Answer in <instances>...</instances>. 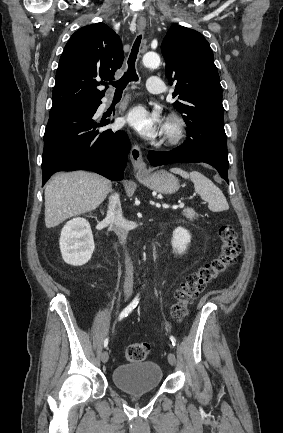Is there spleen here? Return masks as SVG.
<instances>
[{"label":"spleen","instance_id":"1","mask_svg":"<svg viewBox=\"0 0 283 433\" xmlns=\"http://www.w3.org/2000/svg\"><path fill=\"white\" fill-rule=\"evenodd\" d=\"M171 172L181 174L183 178H190L194 182L195 190L200 194L203 200H207L210 210L213 212H220V210H228L229 204L220 188L215 186L212 180H209L207 176L192 170V172H186L182 168H170Z\"/></svg>","mask_w":283,"mask_h":433}]
</instances>
